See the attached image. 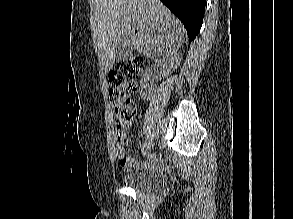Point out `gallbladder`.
<instances>
[{
    "mask_svg": "<svg viewBox=\"0 0 293 219\" xmlns=\"http://www.w3.org/2000/svg\"><path fill=\"white\" fill-rule=\"evenodd\" d=\"M132 51L131 37L129 35L122 36L116 44V60H127L131 56Z\"/></svg>",
    "mask_w": 293,
    "mask_h": 219,
    "instance_id": "1",
    "label": "gallbladder"
}]
</instances>
